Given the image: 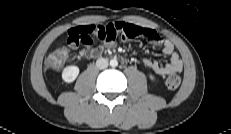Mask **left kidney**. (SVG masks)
<instances>
[{
  "instance_id": "left-kidney-1",
  "label": "left kidney",
  "mask_w": 231,
  "mask_h": 134,
  "mask_svg": "<svg viewBox=\"0 0 231 134\" xmlns=\"http://www.w3.org/2000/svg\"><path fill=\"white\" fill-rule=\"evenodd\" d=\"M149 77H150V79H151L152 81L155 80V77H154L153 75L150 74Z\"/></svg>"
}]
</instances>
